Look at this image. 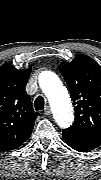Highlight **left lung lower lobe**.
<instances>
[{
    "label": "left lung lower lobe",
    "instance_id": "1",
    "mask_svg": "<svg viewBox=\"0 0 101 180\" xmlns=\"http://www.w3.org/2000/svg\"><path fill=\"white\" fill-rule=\"evenodd\" d=\"M62 135L65 142L71 148L80 152L91 151L100 145V141H96L87 136L78 135L64 130Z\"/></svg>",
    "mask_w": 101,
    "mask_h": 180
}]
</instances>
